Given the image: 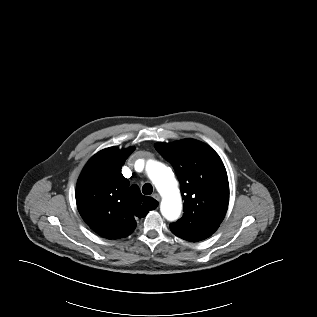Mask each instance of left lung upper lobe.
Segmentation results:
<instances>
[{"instance_id": "1", "label": "left lung upper lobe", "mask_w": 317, "mask_h": 317, "mask_svg": "<svg viewBox=\"0 0 317 317\" xmlns=\"http://www.w3.org/2000/svg\"><path fill=\"white\" fill-rule=\"evenodd\" d=\"M155 148L173 166L184 199L183 217L170 226L180 229L200 222L220 225L229 203V183L217 153L193 139L157 143Z\"/></svg>"}]
</instances>
